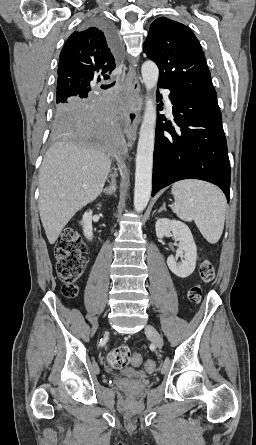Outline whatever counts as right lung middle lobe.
I'll use <instances>...</instances> for the list:
<instances>
[{
  "mask_svg": "<svg viewBox=\"0 0 256 445\" xmlns=\"http://www.w3.org/2000/svg\"><path fill=\"white\" fill-rule=\"evenodd\" d=\"M91 96L90 94H84V97L87 98ZM77 98H80L79 96L76 97H71L69 100L65 99L64 101H60V100H56V104H55V115L59 114L64 108H66L67 106L71 105L73 102H75V100ZM54 134L56 136H63L61 133H59L55 127H54Z\"/></svg>",
  "mask_w": 256,
  "mask_h": 445,
  "instance_id": "right-lung-middle-lobe-1",
  "label": "right lung middle lobe"
}]
</instances>
